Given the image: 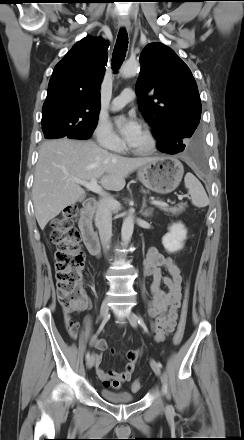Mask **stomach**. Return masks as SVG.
<instances>
[{
	"label": "stomach",
	"mask_w": 244,
	"mask_h": 440,
	"mask_svg": "<svg viewBox=\"0 0 244 440\" xmlns=\"http://www.w3.org/2000/svg\"><path fill=\"white\" fill-rule=\"evenodd\" d=\"M184 174L182 163L173 156L162 155L138 169L137 176L149 190L167 194L180 184Z\"/></svg>",
	"instance_id": "obj_1"
}]
</instances>
